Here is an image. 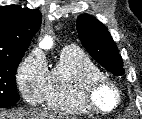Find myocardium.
<instances>
[{
  "label": "myocardium",
  "instance_id": "myocardium-1",
  "mask_svg": "<svg viewBox=\"0 0 142 119\" xmlns=\"http://www.w3.org/2000/svg\"><path fill=\"white\" fill-rule=\"evenodd\" d=\"M108 91L113 96V103L109 107H104L100 101V94ZM84 104L97 113L108 114L113 112L120 104L121 94L118 87L106 77L90 79L86 82L82 93Z\"/></svg>",
  "mask_w": 142,
  "mask_h": 119
}]
</instances>
